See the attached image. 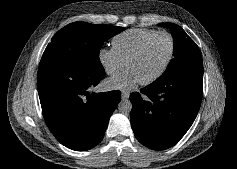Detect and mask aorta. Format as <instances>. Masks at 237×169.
<instances>
[{
    "label": "aorta",
    "mask_w": 237,
    "mask_h": 169,
    "mask_svg": "<svg viewBox=\"0 0 237 169\" xmlns=\"http://www.w3.org/2000/svg\"><path fill=\"white\" fill-rule=\"evenodd\" d=\"M118 110L120 113L129 114L132 110V103L128 99H123L118 104Z\"/></svg>",
    "instance_id": "1"
}]
</instances>
